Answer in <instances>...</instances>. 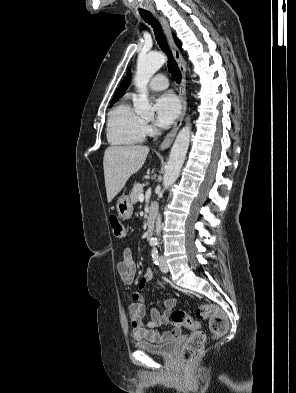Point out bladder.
I'll return each mask as SVG.
<instances>
[{"label": "bladder", "mask_w": 296, "mask_h": 393, "mask_svg": "<svg viewBox=\"0 0 296 393\" xmlns=\"http://www.w3.org/2000/svg\"><path fill=\"white\" fill-rule=\"evenodd\" d=\"M176 345H177V341L173 338L158 344L151 343L144 340L137 341L135 343V347L138 350L151 353L154 355L165 356V357L171 356L173 354Z\"/></svg>", "instance_id": "bladder-1"}]
</instances>
